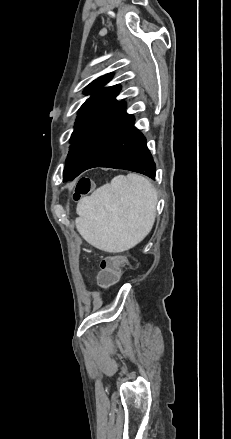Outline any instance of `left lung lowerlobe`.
Returning a JSON list of instances; mask_svg holds the SVG:
<instances>
[{
  "label": "left lung lower lobe",
  "instance_id": "obj_1",
  "mask_svg": "<svg viewBox=\"0 0 231 439\" xmlns=\"http://www.w3.org/2000/svg\"><path fill=\"white\" fill-rule=\"evenodd\" d=\"M94 167L126 169L155 177V163L145 137L134 127L132 115H127L109 135L85 170Z\"/></svg>",
  "mask_w": 231,
  "mask_h": 439
}]
</instances>
